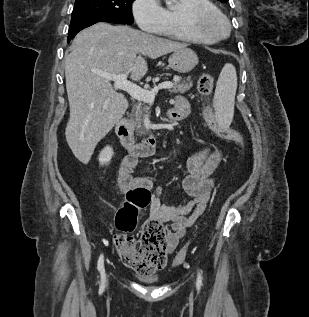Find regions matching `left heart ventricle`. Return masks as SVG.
Instances as JSON below:
<instances>
[{
  "instance_id": "b2bd125f",
  "label": "left heart ventricle",
  "mask_w": 309,
  "mask_h": 317,
  "mask_svg": "<svg viewBox=\"0 0 309 317\" xmlns=\"http://www.w3.org/2000/svg\"><path fill=\"white\" fill-rule=\"evenodd\" d=\"M218 26H219V25H218L217 23H211V22H210V23H207V24H206V27H207V28H218Z\"/></svg>"
}]
</instances>
